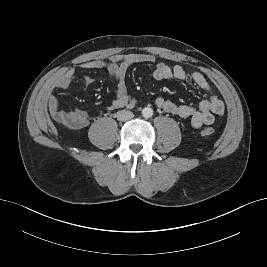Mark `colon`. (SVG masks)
Wrapping results in <instances>:
<instances>
[{
  "instance_id": "5ec220e1",
  "label": "colon",
  "mask_w": 267,
  "mask_h": 267,
  "mask_svg": "<svg viewBox=\"0 0 267 267\" xmlns=\"http://www.w3.org/2000/svg\"><path fill=\"white\" fill-rule=\"evenodd\" d=\"M58 119L70 126V127H78V123H79V118L74 114V112L72 110L70 111H62L60 116L58 117ZM201 134L203 136H211L214 134V129L213 128H210V127H207V128H204L201 130Z\"/></svg>"
}]
</instances>
